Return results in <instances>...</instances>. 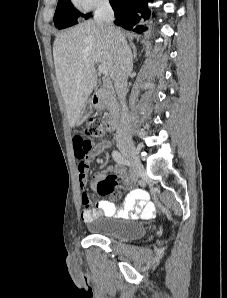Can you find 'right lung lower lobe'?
Wrapping results in <instances>:
<instances>
[{
	"label": "right lung lower lobe",
	"mask_w": 227,
	"mask_h": 298,
	"mask_svg": "<svg viewBox=\"0 0 227 298\" xmlns=\"http://www.w3.org/2000/svg\"><path fill=\"white\" fill-rule=\"evenodd\" d=\"M148 1L153 0H110L116 17L114 23L137 33L145 31L146 28L144 26L136 25V23L140 20L138 13L143 18H149L150 10L147 5ZM89 17H91V14Z\"/></svg>",
	"instance_id": "obj_1"
}]
</instances>
